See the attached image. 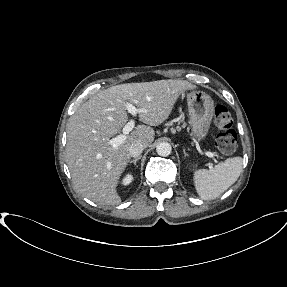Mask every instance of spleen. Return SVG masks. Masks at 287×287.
<instances>
[{
    "instance_id": "3e777b00",
    "label": "spleen",
    "mask_w": 287,
    "mask_h": 287,
    "mask_svg": "<svg viewBox=\"0 0 287 287\" xmlns=\"http://www.w3.org/2000/svg\"><path fill=\"white\" fill-rule=\"evenodd\" d=\"M242 171V158H228L212 169H199L194 173L195 189L203 200L219 197L239 178Z\"/></svg>"
}]
</instances>
